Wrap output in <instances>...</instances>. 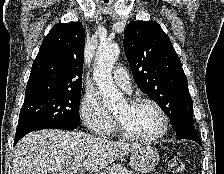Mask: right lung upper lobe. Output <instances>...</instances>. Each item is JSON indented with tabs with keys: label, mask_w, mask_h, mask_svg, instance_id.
Wrapping results in <instances>:
<instances>
[{
	"label": "right lung upper lobe",
	"mask_w": 224,
	"mask_h": 174,
	"mask_svg": "<svg viewBox=\"0 0 224 174\" xmlns=\"http://www.w3.org/2000/svg\"><path fill=\"white\" fill-rule=\"evenodd\" d=\"M85 31L81 24H55L31 68L26 94L82 88Z\"/></svg>",
	"instance_id": "1"
}]
</instances>
